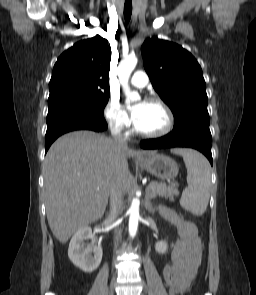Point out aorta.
<instances>
[{
	"instance_id": "aorta-1",
	"label": "aorta",
	"mask_w": 256,
	"mask_h": 295,
	"mask_svg": "<svg viewBox=\"0 0 256 295\" xmlns=\"http://www.w3.org/2000/svg\"><path fill=\"white\" fill-rule=\"evenodd\" d=\"M137 62L138 60L135 56H128L120 62L118 67V76L120 83L122 85V89L126 96L127 104L140 100V95L135 91H131L129 87V77L134 68L136 67ZM139 205V199L134 198L129 209V235L132 238L136 236L138 229V221L140 218Z\"/></svg>"
}]
</instances>
